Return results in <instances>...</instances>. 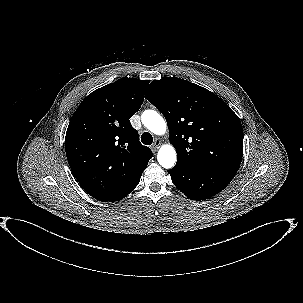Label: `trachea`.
Instances as JSON below:
<instances>
[{"instance_id": "3493384b", "label": "trachea", "mask_w": 303, "mask_h": 303, "mask_svg": "<svg viewBox=\"0 0 303 303\" xmlns=\"http://www.w3.org/2000/svg\"><path fill=\"white\" fill-rule=\"evenodd\" d=\"M141 141L145 145H151L153 143V137L150 133L144 132L141 136Z\"/></svg>"}]
</instances>
